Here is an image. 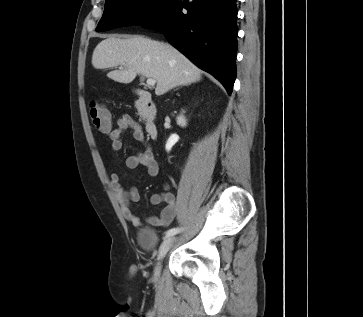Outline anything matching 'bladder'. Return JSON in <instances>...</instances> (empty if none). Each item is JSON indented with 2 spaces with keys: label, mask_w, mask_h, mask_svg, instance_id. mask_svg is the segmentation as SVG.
<instances>
[{
  "label": "bladder",
  "mask_w": 363,
  "mask_h": 317,
  "mask_svg": "<svg viewBox=\"0 0 363 317\" xmlns=\"http://www.w3.org/2000/svg\"><path fill=\"white\" fill-rule=\"evenodd\" d=\"M137 239L143 249L151 252L156 246L158 236L154 230L150 228H142L138 231Z\"/></svg>",
  "instance_id": "1"
}]
</instances>
